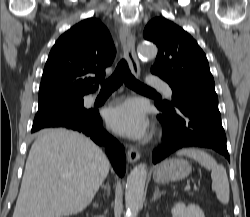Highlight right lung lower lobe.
<instances>
[{
	"label": "right lung lower lobe",
	"mask_w": 250,
	"mask_h": 217,
	"mask_svg": "<svg viewBox=\"0 0 250 217\" xmlns=\"http://www.w3.org/2000/svg\"><path fill=\"white\" fill-rule=\"evenodd\" d=\"M48 128H67L84 133L96 144L106 147V153L116 173L121 177L125 174L124 147L103 129L102 119L98 111L91 110L90 115L84 120L60 122L45 127L42 130Z\"/></svg>",
	"instance_id": "obj_1"
}]
</instances>
